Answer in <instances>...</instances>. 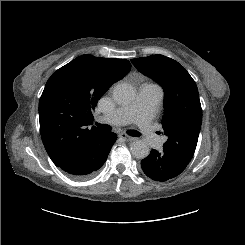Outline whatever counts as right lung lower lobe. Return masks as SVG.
Segmentation results:
<instances>
[{"instance_id":"1","label":"right lung lower lobe","mask_w":245,"mask_h":245,"mask_svg":"<svg viewBox=\"0 0 245 245\" xmlns=\"http://www.w3.org/2000/svg\"><path fill=\"white\" fill-rule=\"evenodd\" d=\"M116 139L115 134L101 131L57 166L73 178H89L104 164Z\"/></svg>"}]
</instances>
